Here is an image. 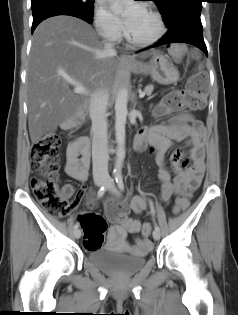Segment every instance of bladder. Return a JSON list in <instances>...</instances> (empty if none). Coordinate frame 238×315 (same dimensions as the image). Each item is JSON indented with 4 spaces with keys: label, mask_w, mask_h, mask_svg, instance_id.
Instances as JSON below:
<instances>
[{
    "label": "bladder",
    "mask_w": 238,
    "mask_h": 315,
    "mask_svg": "<svg viewBox=\"0 0 238 315\" xmlns=\"http://www.w3.org/2000/svg\"><path fill=\"white\" fill-rule=\"evenodd\" d=\"M86 258L95 267L115 276L133 275L143 268L147 261L144 254L133 256L100 248L89 249Z\"/></svg>",
    "instance_id": "bladder-1"
}]
</instances>
